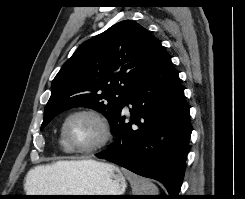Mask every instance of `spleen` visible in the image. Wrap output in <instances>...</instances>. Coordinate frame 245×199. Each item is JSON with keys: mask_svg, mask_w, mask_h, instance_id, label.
Instances as JSON below:
<instances>
[{"mask_svg": "<svg viewBox=\"0 0 245 199\" xmlns=\"http://www.w3.org/2000/svg\"><path fill=\"white\" fill-rule=\"evenodd\" d=\"M123 173L131 184L133 195H158L157 186L150 180L125 169H123Z\"/></svg>", "mask_w": 245, "mask_h": 199, "instance_id": "1", "label": "spleen"}]
</instances>
